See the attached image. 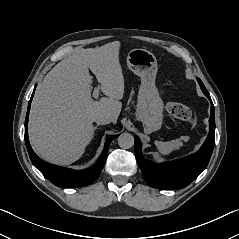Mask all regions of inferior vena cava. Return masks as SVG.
<instances>
[{"label": "inferior vena cava", "instance_id": "602c4592", "mask_svg": "<svg viewBox=\"0 0 239 239\" xmlns=\"http://www.w3.org/2000/svg\"><path fill=\"white\" fill-rule=\"evenodd\" d=\"M94 121L98 125H104V124H109L112 121V119H111V116L107 113H99L95 116Z\"/></svg>", "mask_w": 239, "mask_h": 239}]
</instances>
